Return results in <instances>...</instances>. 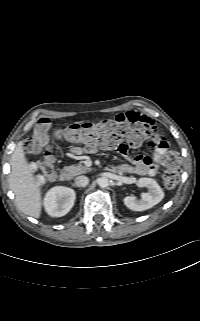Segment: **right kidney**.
I'll use <instances>...</instances> for the list:
<instances>
[{"mask_svg": "<svg viewBox=\"0 0 200 321\" xmlns=\"http://www.w3.org/2000/svg\"><path fill=\"white\" fill-rule=\"evenodd\" d=\"M75 199L76 193L73 189L55 186L46 193L44 207L48 215L52 217H61L71 210Z\"/></svg>", "mask_w": 200, "mask_h": 321, "instance_id": "right-kidney-1", "label": "right kidney"}]
</instances>
